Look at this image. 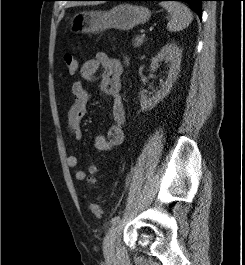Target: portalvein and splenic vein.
<instances>
[{"mask_svg": "<svg viewBox=\"0 0 245 265\" xmlns=\"http://www.w3.org/2000/svg\"><path fill=\"white\" fill-rule=\"evenodd\" d=\"M143 38H145V36H146V34L145 33H142V35H141Z\"/></svg>", "mask_w": 245, "mask_h": 265, "instance_id": "obj_1", "label": "portal vein and splenic vein"}]
</instances>
